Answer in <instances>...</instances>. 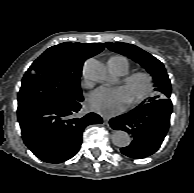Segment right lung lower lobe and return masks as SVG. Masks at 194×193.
Segmentation results:
<instances>
[{"label":"right lung lower lobe","instance_id":"98d812e1","mask_svg":"<svg viewBox=\"0 0 194 193\" xmlns=\"http://www.w3.org/2000/svg\"><path fill=\"white\" fill-rule=\"evenodd\" d=\"M82 101L83 98L72 104L18 106L22 137L34 155L44 162L61 163L79 151L84 128L102 123V118L95 113L76 117Z\"/></svg>","mask_w":194,"mask_h":193}]
</instances>
